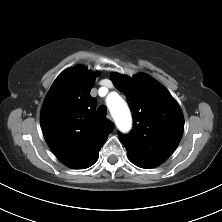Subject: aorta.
Masks as SVG:
<instances>
[{
  "label": "aorta",
  "mask_w": 222,
  "mask_h": 222,
  "mask_svg": "<svg viewBox=\"0 0 222 222\" xmlns=\"http://www.w3.org/2000/svg\"><path fill=\"white\" fill-rule=\"evenodd\" d=\"M109 110L121 131H127L131 125V116L125 101L117 94L107 98Z\"/></svg>",
  "instance_id": "obj_1"
}]
</instances>
